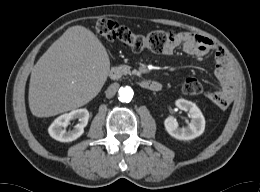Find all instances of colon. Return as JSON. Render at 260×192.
I'll use <instances>...</instances> for the list:
<instances>
[{
    "mask_svg": "<svg viewBox=\"0 0 260 192\" xmlns=\"http://www.w3.org/2000/svg\"><path fill=\"white\" fill-rule=\"evenodd\" d=\"M95 28L96 32L104 39L118 40L136 51L149 49L163 52L177 39V34L171 30H154L146 34H137L111 18L99 19ZM202 90V84L192 77L186 79L182 86V91L187 95H196Z\"/></svg>",
    "mask_w": 260,
    "mask_h": 192,
    "instance_id": "1",
    "label": "colon"
}]
</instances>
